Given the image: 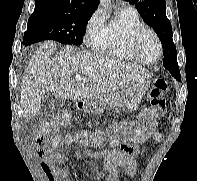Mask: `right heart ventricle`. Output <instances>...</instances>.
Instances as JSON below:
<instances>
[{"label":"right heart ventricle","instance_id":"obj_1","mask_svg":"<svg viewBox=\"0 0 197 181\" xmlns=\"http://www.w3.org/2000/svg\"><path fill=\"white\" fill-rule=\"evenodd\" d=\"M143 25L136 9L122 7L111 20L103 21L101 29L91 41L92 49L108 58L139 62L130 49V37Z\"/></svg>","mask_w":197,"mask_h":181}]
</instances>
